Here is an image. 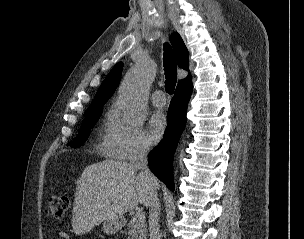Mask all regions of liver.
<instances>
[{
  "mask_svg": "<svg viewBox=\"0 0 304 239\" xmlns=\"http://www.w3.org/2000/svg\"><path fill=\"white\" fill-rule=\"evenodd\" d=\"M150 197L147 183L129 162L107 159L89 165L77 182L73 230L82 235L107 219L121 218L138 203L148 207Z\"/></svg>",
  "mask_w": 304,
  "mask_h": 239,
  "instance_id": "obj_1",
  "label": "liver"
}]
</instances>
